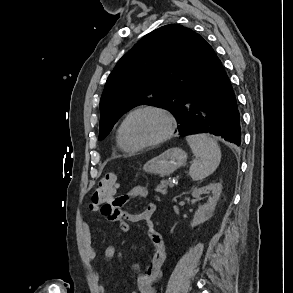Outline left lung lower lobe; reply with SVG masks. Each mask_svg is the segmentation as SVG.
Segmentation results:
<instances>
[{"label": "left lung lower lobe", "mask_w": 293, "mask_h": 293, "mask_svg": "<svg viewBox=\"0 0 293 293\" xmlns=\"http://www.w3.org/2000/svg\"><path fill=\"white\" fill-rule=\"evenodd\" d=\"M178 133H210L241 143L240 114L230 80L213 52L203 81L182 101Z\"/></svg>", "instance_id": "left-lung-lower-lobe-1"}]
</instances>
